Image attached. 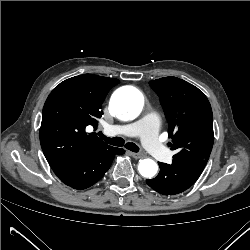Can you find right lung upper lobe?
Instances as JSON below:
<instances>
[{"instance_id":"obj_1","label":"right lung upper lobe","mask_w":250,"mask_h":250,"mask_svg":"<svg viewBox=\"0 0 250 250\" xmlns=\"http://www.w3.org/2000/svg\"><path fill=\"white\" fill-rule=\"evenodd\" d=\"M119 80L83 74L61 82L48 96L42 115L40 143L52 169L80 163L109 145L86 127L98 124L102 103Z\"/></svg>"}]
</instances>
